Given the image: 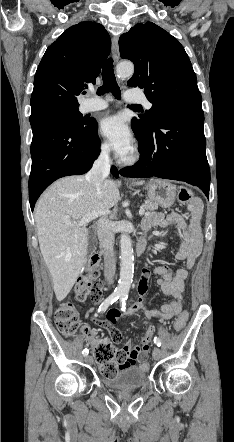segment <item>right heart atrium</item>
I'll return each mask as SVG.
<instances>
[{
	"label": "right heart atrium",
	"instance_id": "obj_1",
	"mask_svg": "<svg viewBox=\"0 0 234 442\" xmlns=\"http://www.w3.org/2000/svg\"><path fill=\"white\" fill-rule=\"evenodd\" d=\"M99 157L102 159H108L110 155V145L104 141L99 143L98 146Z\"/></svg>",
	"mask_w": 234,
	"mask_h": 442
}]
</instances>
